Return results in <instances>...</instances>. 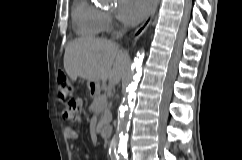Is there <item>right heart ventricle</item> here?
<instances>
[{"mask_svg": "<svg viewBox=\"0 0 242 160\" xmlns=\"http://www.w3.org/2000/svg\"><path fill=\"white\" fill-rule=\"evenodd\" d=\"M72 19L78 33L84 37H100L105 29V13L89 0H76Z\"/></svg>", "mask_w": 242, "mask_h": 160, "instance_id": "1", "label": "right heart ventricle"}]
</instances>
